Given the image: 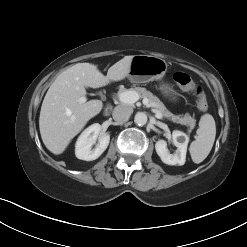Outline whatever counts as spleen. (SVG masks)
<instances>
[{"instance_id": "obj_1", "label": "spleen", "mask_w": 247, "mask_h": 247, "mask_svg": "<svg viewBox=\"0 0 247 247\" xmlns=\"http://www.w3.org/2000/svg\"><path fill=\"white\" fill-rule=\"evenodd\" d=\"M196 140L190 144L189 151L194 163H201L209 155L216 136V125L212 115L204 114L199 121Z\"/></svg>"}]
</instances>
